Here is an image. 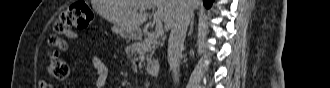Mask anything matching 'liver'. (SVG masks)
Segmentation results:
<instances>
[{
    "label": "liver",
    "instance_id": "6515ba94",
    "mask_svg": "<svg viewBox=\"0 0 330 88\" xmlns=\"http://www.w3.org/2000/svg\"><path fill=\"white\" fill-rule=\"evenodd\" d=\"M193 9L200 6V0H188ZM96 11L114 24V30L121 34L132 33L148 19V9L155 8L154 22L164 23L169 30L182 7V0H93Z\"/></svg>",
    "mask_w": 330,
    "mask_h": 88
}]
</instances>
